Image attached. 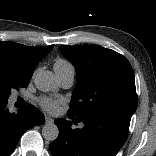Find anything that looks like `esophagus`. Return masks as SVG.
<instances>
[{
    "mask_svg": "<svg viewBox=\"0 0 156 156\" xmlns=\"http://www.w3.org/2000/svg\"><path fill=\"white\" fill-rule=\"evenodd\" d=\"M45 122L46 124H51L53 122V119L50 116L45 115Z\"/></svg>",
    "mask_w": 156,
    "mask_h": 156,
    "instance_id": "34e87169",
    "label": "esophagus"
}]
</instances>
